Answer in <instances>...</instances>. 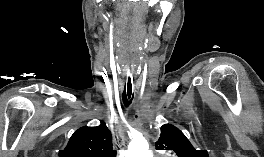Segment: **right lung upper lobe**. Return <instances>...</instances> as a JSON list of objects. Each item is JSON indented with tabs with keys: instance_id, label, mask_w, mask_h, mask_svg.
<instances>
[{
	"instance_id": "obj_1",
	"label": "right lung upper lobe",
	"mask_w": 264,
	"mask_h": 157,
	"mask_svg": "<svg viewBox=\"0 0 264 157\" xmlns=\"http://www.w3.org/2000/svg\"><path fill=\"white\" fill-rule=\"evenodd\" d=\"M59 157H116L111 132L104 122L98 127H81L59 151Z\"/></svg>"
}]
</instances>
